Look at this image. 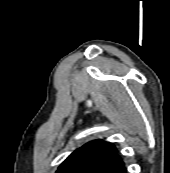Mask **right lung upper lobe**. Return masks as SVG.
Wrapping results in <instances>:
<instances>
[{"label":"right lung upper lobe","instance_id":"cb5924a9","mask_svg":"<svg viewBox=\"0 0 170 173\" xmlns=\"http://www.w3.org/2000/svg\"><path fill=\"white\" fill-rule=\"evenodd\" d=\"M122 163L113 145L94 140L69 155L56 173H106Z\"/></svg>","mask_w":170,"mask_h":173}]
</instances>
